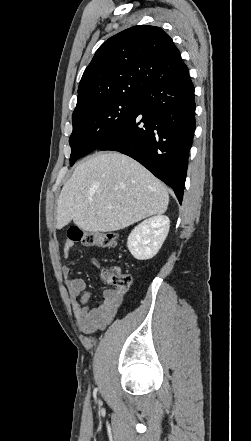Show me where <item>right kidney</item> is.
Returning a JSON list of instances; mask_svg holds the SVG:
<instances>
[{
	"mask_svg": "<svg viewBox=\"0 0 251 441\" xmlns=\"http://www.w3.org/2000/svg\"><path fill=\"white\" fill-rule=\"evenodd\" d=\"M170 227L167 216L157 215L138 224L128 236L127 247L137 260L153 258L165 241Z\"/></svg>",
	"mask_w": 251,
	"mask_h": 441,
	"instance_id": "right-kidney-1",
	"label": "right kidney"
}]
</instances>
